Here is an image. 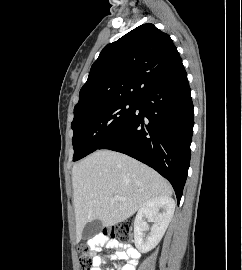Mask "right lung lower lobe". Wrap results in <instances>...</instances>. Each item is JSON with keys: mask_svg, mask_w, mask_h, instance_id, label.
I'll list each match as a JSON object with an SVG mask.
<instances>
[{"mask_svg": "<svg viewBox=\"0 0 242 270\" xmlns=\"http://www.w3.org/2000/svg\"><path fill=\"white\" fill-rule=\"evenodd\" d=\"M193 103L183 65L150 86L125 125L98 149L127 154L172 184L180 202L190 165Z\"/></svg>", "mask_w": 242, "mask_h": 270, "instance_id": "obj_1", "label": "right lung lower lobe"}]
</instances>
